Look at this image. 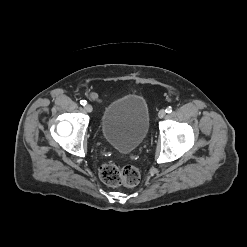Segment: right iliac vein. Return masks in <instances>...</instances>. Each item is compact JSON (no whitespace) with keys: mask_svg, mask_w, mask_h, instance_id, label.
Wrapping results in <instances>:
<instances>
[{"mask_svg":"<svg viewBox=\"0 0 247 247\" xmlns=\"http://www.w3.org/2000/svg\"><path fill=\"white\" fill-rule=\"evenodd\" d=\"M85 110H86L87 112L91 113L92 110H93V108H92V106H91L90 104H87V105L85 106Z\"/></svg>","mask_w":247,"mask_h":247,"instance_id":"right-iliac-vein-1","label":"right iliac vein"}]
</instances>
